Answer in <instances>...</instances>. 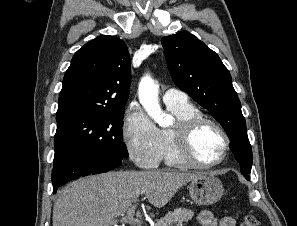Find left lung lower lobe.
Here are the masks:
<instances>
[{"label":"left lung lower lobe","mask_w":297,"mask_h":226,"mask_svg":"<svg viewBox=\"0 0 297 226\" xmlns=\"http://www.w3.org/2000/svg\"><path fill=\"white\" fill-rule=\"evenodd\" d=\"M246 179H248V180H249L250 178H249V177H246Z\"/></svg>","instance_id":"1"}]
</instances>
